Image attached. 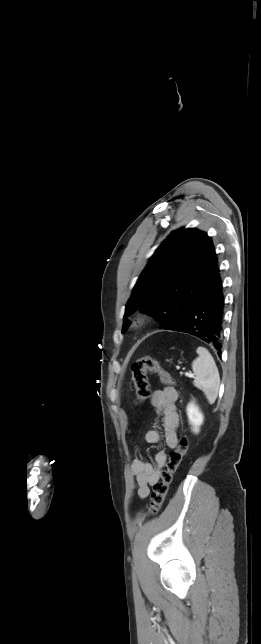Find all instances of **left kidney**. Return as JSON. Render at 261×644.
I'll return each mask as SVG.
<instances>
[{"label":"left kidney","mask_w":261,"mask_h":644,"mask_svg":"<svg viewBox=\"0 0 261 644\" xmlns=\"http://www.w3.org/2000/svg\"><path fill=\"white\" fill-rule=\"evenodd\" d=\"M186 411L192 431L198 433L204 420L203 413L193 401L187 405Z\"/></svg>","instance_id":"left-kidney-1"}]
</instances>
